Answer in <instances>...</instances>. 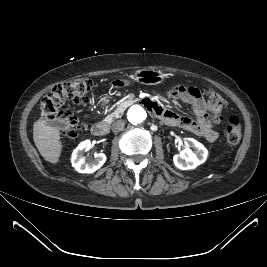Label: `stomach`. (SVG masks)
<instances>
[{"label":"stomach","mask_w":267,"mask_h":267,"mask_svg":"<svg viewBox=\"0 0 267 267\" xmlns=\"http://www.w3.org/2000/svg\"><path fill=\"white\" fill-rule=\"evenodd\" d=\"M131 78L141 84L156 85L162 83L167 78V74L159 70L142 69L135 71Z\"/></svg>","instance_id":"obj_1"}]
</instances>
